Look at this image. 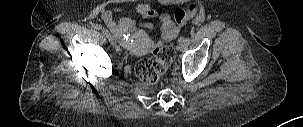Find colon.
Listing matches in <instances>:
<instances>
[{
    "instance_id": "5ec220e1",
    "label": "colon",
    "mask_w": 303,
    "mask_h": 127,
    "mask_svg": "<svg viewBox=\"0 0 303 127\" xmlns=\"http://www.w3.org/2000/svg\"><path fill=\"white\" fill-rule=\"evenodd\" d=\"M198 11V6L192 4L186 9H179L174 14V19L178 24H183L192 18ZM175 57L172 46L160 43L155 48L153 55L140 60L135 66L136 75L146 84H156L161 75L166 71Z\"/></svg>"
}]
</instances>
